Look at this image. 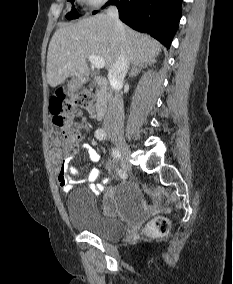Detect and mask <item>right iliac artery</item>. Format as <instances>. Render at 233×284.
I'll return each mask as SVG.
<instances>
[{
    "mask_svg": "<svg viewBox=\"0 0 233 284\" xmlns=\"http://www.w3.org/2000/svg\"><path fill=\"white\" fill-rule=\"evenodd\" d=\"M95 137L98 139V140H105L106 139V133H105V131L103 130V129H97L96 131H95ZM113 157L115 158V157H118V158H120V154H119V151L118 150H116V149H114L113 150Z\"/></svg>",
    "mask_w": 233,
    "mask_h": 284,
    "instance_id": "1",
    "label": "right iliac artery"
}]
</instances>
